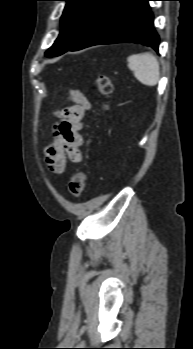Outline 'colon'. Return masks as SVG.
Segmentation results:
<instances>
[{"label": "colon", "instance_id": "obj_1", "mask_svg": "<svg viewBox=\"0 0 193 349\" xmlns=\"http://www.w3.org/2000/svg\"><path fill=\"white\" fill-rule=\"evenodd\" d=\"M94 86L96 90L104 97L110 96L113 91V85L111 79L106 75H99L94 81ZM104 109L107 106L104 105ZM87 176L83 171H77L74 173L69 181V192L74 197H79L82 195L86 186Z\"/></svg>", "mask_w": 193, "mask_h": 349}]
</instances>
